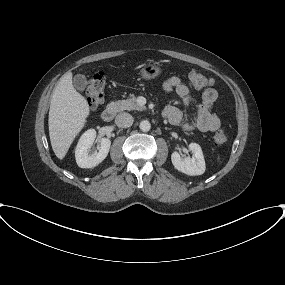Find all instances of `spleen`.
Returning a JSON list of instances; mask_svg holds the SVG:
<instances>
[{
    "label": "spleen",
    "mask_w": 285,
    "mask_h": 285,
    "mask_svg": "<svg viewBox=\"0 0 285 285\" xmlns=\"http://www.w3.org/2000/svg\"><path fill=\"white\" fill-rule=\"evenodd\" d=\"M217 159H218V161H219L220 157L218 156V158H217Z\"/></svg>",
    "instance_id": "spleen-1"
}]
</instances>
